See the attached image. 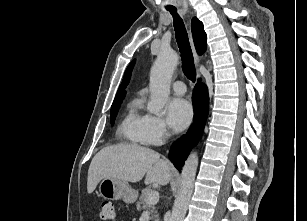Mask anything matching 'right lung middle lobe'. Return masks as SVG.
I'll list each match as a JSON object with an SVG mask.
<instances>
[{"label": "right lung middle lobe", "instance_id": "right-lung-middle-lobe-1", "mask_svg": "<svg viewBox=\"0 0 307 221\" xmlns=\"http://www.w3.org/2000/svg\"><path fill=\"white\" fill-rule=\"evenodd\" d=\"M122 101H118V102H114L112 104V107H111V112H110V120H111V124L114 123V120H115V117H116V114H117V111L120 107V104H121Z\"/></svg>", "mask_w": 307, "mask_h": 221}]
</instances>
